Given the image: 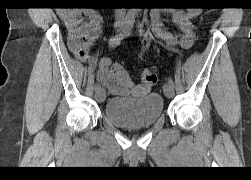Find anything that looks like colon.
<instances>
[{
  "mask_svg": "<svg viewBox=\"0 0 251 180\" xmlns=\"http://www.w3.org/2000/svg\"><path fill=\"white\" fill-rule=\"evenodd\" d=\"M141 85L147 89H151L157 82V75L152 69H144L140 75Z\"/></svg>",
  "mask_w": 251,
  "mask_h": 180,
  "instance_id": "5ec220e1",
  "label": "colon"
}]
</instances>
